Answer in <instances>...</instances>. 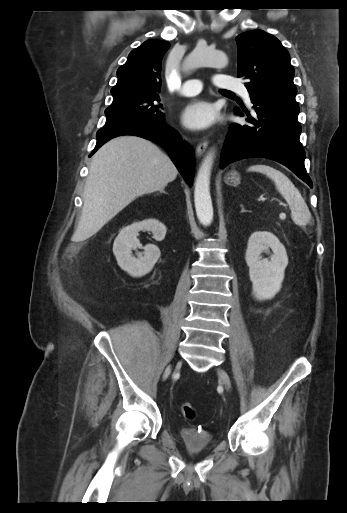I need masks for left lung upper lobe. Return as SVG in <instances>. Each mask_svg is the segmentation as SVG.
Wrapping results in <instances>:
<instances>
[{"label": "left lung upper lobe", "instance_id": "1", "mask_svg": "<svg viewBox=\"0 0 347 513\" xmlns=\"http://www.w3.org/2000/svg\"><path fill=\"white\" fill-rule=\"evenodd\" d=\"M236 42L238 77L247 81L250 95H296L289 53L276 37L253 30L238 35Z\"/></svg>", "mask_w": 347, "mask_h": 513}]
</instances>
